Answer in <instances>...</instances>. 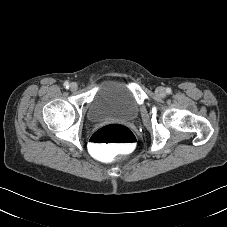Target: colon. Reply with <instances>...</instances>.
<instances>
[{
  "label": "colon",
  "mask_w": 227,
  "mask_h": 227,
  "mask_svg": "<svg viewBox=\"0 0 227 227\" xmlns=\"http://www.w3.org/2000/svg\"><path fill=\"white\" fill-rule=\"evenodd\" d=\"M136 145L133 132L124 125L110 124L97 130L90 139L94 155L109 160L122 153H129Z\"/></svg>",
  "instance_id": "obj_1"
}]
</instances>
